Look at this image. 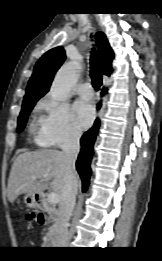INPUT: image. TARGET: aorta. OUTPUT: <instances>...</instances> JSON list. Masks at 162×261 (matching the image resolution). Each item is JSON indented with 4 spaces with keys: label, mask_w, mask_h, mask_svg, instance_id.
<instances>
[{
    "label": "aorta",
    "mask_w": 162,
    "mask_h": 261,
    "mask_svg": "<svg viewBox=\"0 0 162 261\" xmlns=\"http://www.w3.org/2000/svg\"><path fill=\"white\" fill-rule=\"evenodd\" d=\"M79 67V63L69 62L56 73L51 85V93L58 101H66L69 98L71 88L77 81Z\"/></svg>",
    "instance_id": "obj_1"
}]
</instances>
